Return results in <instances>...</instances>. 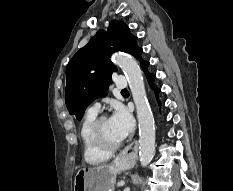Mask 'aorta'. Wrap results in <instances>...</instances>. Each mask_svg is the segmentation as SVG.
<instances>
[{
  "label": "aorta",
  "instance_id": "762f6f07",
  "mask_svg": "<svg viewBox=\"0 0 233 191\" xmlns=\"http://www.w3.org/2000/svg\"><path fill=\"white\" fill-rule=\"evenodd\" d=\"M112 62L124 72L136 106L139 126V156L142 167H146L155 154L154 117L147 100L142 71L130 55L115 53Z\"/></svg>",
  "mask_w": 233,
  "mask_h": 191
}]
</instances>
